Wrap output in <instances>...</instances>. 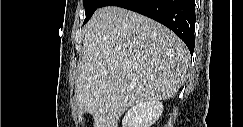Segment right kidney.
<instances>
[{"label":"right kidney","mask_w":243,"mask_h":127,"mask_svg":"<svg viewBox=\"0 0 243 127\" xmlns=\"http://www.w3.org/2000/svg\"><path fill=\"white\" fill-rule=\"evenodd\" d=\"M163 103L156 100L139 102L127 111L122 127H151L161 116Z\"/></svg>","instance_id":"1"}]
</instances>
